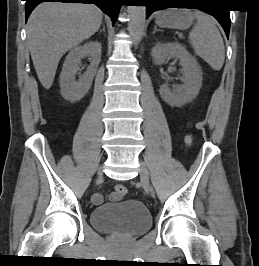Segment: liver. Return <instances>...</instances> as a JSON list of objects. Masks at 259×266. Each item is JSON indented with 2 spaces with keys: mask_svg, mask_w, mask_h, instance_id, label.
Returning <instances> with one entry per match:
<instances>
[{
  "mask_svg": "<svg viewBox=\"0 0 259 266\" xmlns=\"http://www.w3.org/2000/svg\"><path fill=\"white\" fill-rule=\"evenodd\" d=\"M102 19V11L90 4L45 2L34 9L27 23V42L45 89L52 86L61 57L95 34Z\"/></svg>",
  "mask_w": 259,
  "mask_h": 266,
  "instance_id": "liver-1",
  "label": "liver"
}]
</instances>
